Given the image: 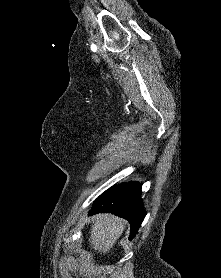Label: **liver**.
Listing matches in <instances>:
<instances>
[{
  "mask_svg": "<svg viewBox=\"0 0 221 278\" xmlns=\"http://www.w3.org/2000/svg\"><path fill=\"white\" fill-rule=\"evenodd\" d=\"M89 241L94 250L103 254L109 252L125 229V222L112 214H98L94 217Z\"/></svg>",
  "mask_w": 221,
  "mask_h": 278,
  "instance_id": "6515ba94",
  "label": "liver"
}]
</instances>
